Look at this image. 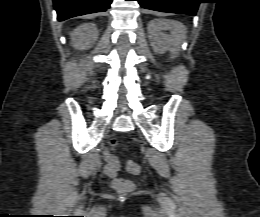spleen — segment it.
Masks as SVG:
<instances>
[{
	"label": "spleen",
	"instance_id": "1",
	"mask_svg": "<svg viewBox=\"0 0 260 217\" xmlns=\"http://www.w3.org/2000/svg\"><path fill=\"white\" fill-rule=\"evenodd\" d=\"M178 31L180 33V39L185 37V31L183 29H181L180 27H178Z\"/></svg>",
	"mask_w": 260,
	"mask_h": 217
}]
</instances>
